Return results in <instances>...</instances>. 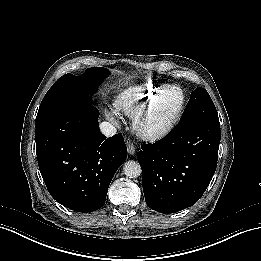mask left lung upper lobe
I'll return each mask as SVG.
<instances>
[{"label":"left lung upper lobe","instance_id":"1","mask_svg":"<svg viewBox=\"0 0 261 261\" xmlns=\"http://www.w3.org/2000/svg\"><path fill=\"white\" fill-rule=\"evenodd\" d=\"M198 117L218 119V114L213 101L204 88H197L195 91H192L191 98L180 122H185Z\"/></svg>","mask_w":261,"mask_h":261}]
</instances>
